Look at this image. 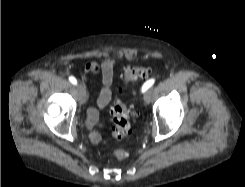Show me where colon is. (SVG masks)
I'll use <instances>...</instances> for the list:
<instances>
[{"mask_svg":"<svg viewBox=\"0 0 245 187\" xmlns=\"http://www.w3.org/2000/svg\"><path fill=\"white\" fill-rule=\"evenodd\" d=\"M150 72V68L142 65L127 67L123 72V79L125 82L133 81L139 78H144ZM111 122L110 129L113 136L122 140L131 133V119L134 117V113L129 109L121 99L116 100L111 108ZM108 128L107 122L101 121L97 124V129L103 131ZM114 156L117 159H123L127 156V152L122 149L114 151Z\"/></svg>","mask_w":245,"mask_h":187,"instance_id":"colon-1","label":"colon"}]
</instances>
